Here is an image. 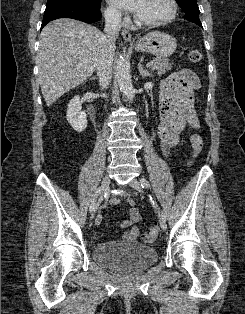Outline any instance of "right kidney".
<instances>
[{"label":"right kidney","mask_w":245,"mask_h":314,"mask_svg":"<svg viewBox=\"0 0 245 314\" xmlns=\"http://www.w3.org/2000/svg\"><path fill=\"white\" fill-rule=\"evenodd\" d=\"M68 123L77 132H83L87 127V116L82 111V105L80 103V97L75 96L68 104V110L66 114Z\"/></svg>","instance_id":"obj_1"}]
</instances>
